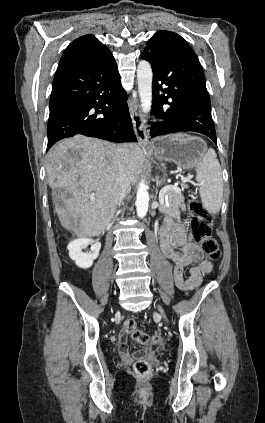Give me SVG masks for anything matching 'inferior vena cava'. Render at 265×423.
Instances as JSON below:
<instances>
[{
  "mask_svg": "<svg viewBox=\"0 0 265 423\" xmlns=\"http://www.w3.org/2000/svg\"><path fill=\"white\" fill-rule=\"evenodd\" d=\"M128 176L126 161L123 158L119 160V175L117 181V203L120 204L122 200L130 193L131 184Z\"/></svg>",
  "mask_w": 265,
  "mask_h": 423,
  "instance_id": "obj_1",
  "label": "inferior vena cava"
}]
</instances>
